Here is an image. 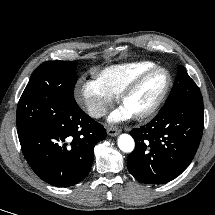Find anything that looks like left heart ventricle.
Returning a JSON list of instances; mask_svg holds the SVG:
<instances>
[{"instance_id":"b2bd125f","label":"left heart ventricle","mask_w":215,"mask_h":215,"mask_svg":"<svg viewBox=\"0 0 215 215\" xmlns=\"http://www.w3.org/2000/svg\"><path fill=\"white\" fill-rule=\"evenodd\" d=\"M165 80L166 76L163 72L152 74L128 97L123 107L130 115L146 110L162 90Z\"/></svg>"}]
</instances>
